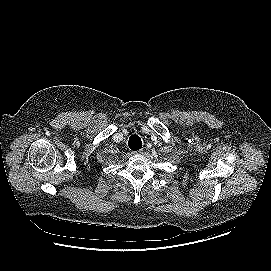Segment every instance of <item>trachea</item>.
Masks as SVG:
<instances>
[{
    "mask_svg": "<svg viewBox=\"0 0 271 271\" xmlns=\"http://www.w3.org/2000/svg\"><path fill=\"white\" fill-rule=\"evenodd\" d=\"M128 146L133 151H137V150L141 149V147H142L141 138L138 135H135V134L132 135L129 138Z\"/></svg>",
    "mask_w": 271,
    "mask_h": 271,
    "instance_id": "3493384b",
    "label": "trachea"
}]
</instances>
